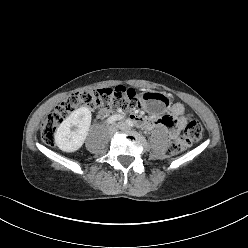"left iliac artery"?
Here are the masks:
<instances>
[{"label": "left iliac artery", "mask_w": 248, "mask_h": 248, "mask_svg": "<svg viewBox=\"0 0 248 248\" xmlns=\"http://www.w3.org/2000/svg\"><path fill=\"white\" fill-rule=\"evenodd\" d=\"M126 123L131 127L135 126L134 122H132L131 120H126Z\"/></svg>", "instance_id": "1"}]
</instances>
